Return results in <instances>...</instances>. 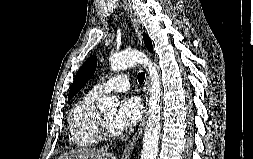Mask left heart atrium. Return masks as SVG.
Returning <instances> with one entry per match:
<instances>
[{
    "label": "left heart atrium",
    "mask_w": 253,
    "mask_h": 159,
    "mask_svg": "<svg viewBox=\"0 0 253 159\" xmlns=\"http://www.w3.org/2000/svg\"><path fill=\"white\" fill-rule=\"evenodd\" d=\"M143 106L139 97H124L113 119L112 126L120 132L135 126L142 117Z\"/></svg>",
    "instance_id": "39dd6f15"
}]
</instances>
